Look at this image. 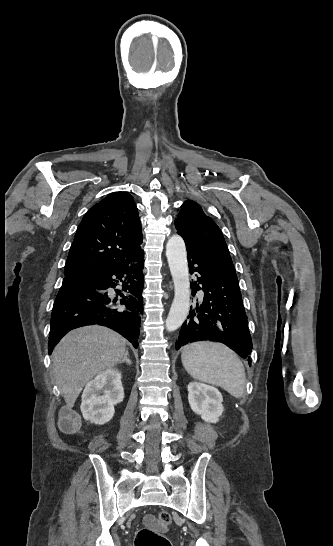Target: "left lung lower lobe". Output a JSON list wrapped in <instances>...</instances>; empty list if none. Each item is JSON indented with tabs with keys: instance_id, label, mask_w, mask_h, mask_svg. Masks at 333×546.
I'll list each match as a JSON object with an SVG mask.
<instances>
[{
	"instance_id": "obj_1",
	"label": "left lung lower lobe",
	"mask_w": 333,
	"mask_h": 546,
	"mask_svg": "<svg viewBox=\"0 0 333 546\" xmlns=\"http://www.w3.org/2000/svg\"><path fill=\"white\" fill-rule=\"evenodd\" d=\"M188 266L196 273L192 295L204 292L195 300L176 341V350L198 340L221 342L243 358H250L252 339L233 263L219 261L185 241ZM251 360H249V365Z\"/></svg>"
}]
</instances>
